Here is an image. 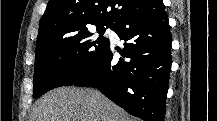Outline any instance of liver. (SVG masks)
Wrapping results in <instances>:
<instances>
[{"mask_svg": "<svg viewBox=\"0 0 217 121\" xmlns=\"http://www.w3.org/2000/svg\"><path fill=\"white\" fill-rule=\"evenodd\" d=\"M33 121H128V117L94 89L61 87L36 102Z\"/></svg>", "mask_w": 217, "mask_h": 121, "instance_id": "6515ba94", "label": "liver"}]
</instances>
